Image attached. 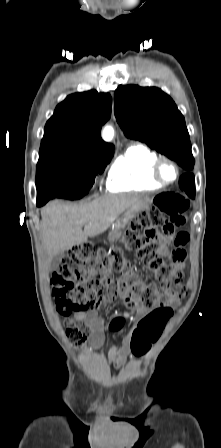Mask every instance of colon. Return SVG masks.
<instances>
[{
    "mask_svg": "<svg viewBox=\"0 0 221 448\" xmlns=\"http://www.w3.org/2000/svg\"><path fill=\"white\" fill-rule=\"evenodd\" d=\"M154 204V208L127 223L122 242L145 264L155 282L137 277L120 249L95 250L89 245L73 247L50 277L55 309L61 315H68L87 310L98 302L111 270L125 273L124 282L130 298L153 310L139 322L132 334L135 353L146 351L151 342L159 339L173 315L172 305L186 294L183 271L163 258L155 248L160 236L153 227L161 226L167 236L175 234L176 229L186 222L189 201L177 193L165 192L154 198ZM66 335L72 343L81 344L82 333L77 327L67 326Z\"/></svg>",
    "mask_w": 221,
    "mask_h": 448,
    "instance_id": "5ec220e1",
    "label": "colon"
}]
</instances>
